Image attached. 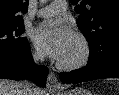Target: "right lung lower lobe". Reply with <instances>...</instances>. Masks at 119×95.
Segmentation results:
<instances>
[{
  "label": "right lung lower lobe",
  "instance_id": "obj_1",
  "mask_svg": "<svg viewBox=\"0 0 119 95\" xmlns=\"http://www.w3.org/2000/svg\"><path fill=\"white\" fill-rule=\"evenodd\" d=\"M48 68L33 63L28 41L19 47L0 48V78L30 79L45 87Z\"/></svg>",
  "mask_w": 119,
  "mask_h": 95
}]
</instances>
